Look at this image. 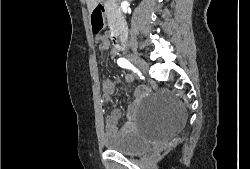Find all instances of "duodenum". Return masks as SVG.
<instances>
[{
  "label": "duodenum",
  "instance_id": "1",
  "mask_svg": "<svg viewBox=\"0 0 250 169\" xmlns=\"http://www.w3.org/2000/svg\"><path fill=\"white\" fill-rule=\"evenodd\" d=\"M107 11L111 13V11ZM111 27L110 39L112 43L116 48H125L128 44L129 31L121 11L117 12L116 16L112 17Z\"/></svg>",
  "mask_w": 250,
  "mask_h": 169
}]
</instances>
